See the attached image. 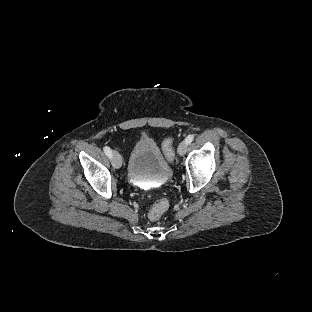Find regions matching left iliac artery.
<instances>
[{
    "instance_id": "left-iliac-artery-1",
    "label": "left iliac artery",
    "mask_w": 312,
    "mask_h": 312,
    "mask_svg": "<svg viewBox=\"0 0 312 312\" xmlns=\"http://www.w3.org/2000/svg\"><path fill=\"white\" fill-rule=\"evenodd\" d=\"M193 139H194L193 135H188L185 140L188 144H190L193 141Z\"/></svg>"
}]
</instances>
